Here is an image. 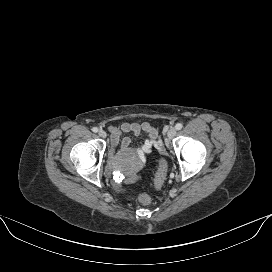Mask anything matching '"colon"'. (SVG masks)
Here are the masks:
<instances>
[{
	"label": "colon",
	"mask_w": 272,
	"mask_h": 272,
	"mask_svg": "<svg viewBox=\"0 0 272 272\" xmlns=\"http://www.w3.org/2000/svg\"><path fill=\"white\" fill-rule=\"evenodd\" d=\"M166 175H167V162L164 158H161L159 160V165L155 176L154 184L156 188H160L163 185ZM138 201L143 205H149L152 201V197L147 193H143L138 196Z\"/></svg>",
	"instance_id": "colon-1"
}]
</instances>
